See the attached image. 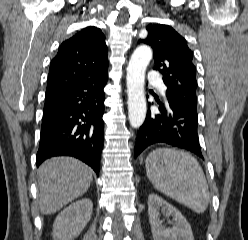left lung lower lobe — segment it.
Wrapping results in <instances>:
<instances>
[{"mask_svg": "<svg viewBox=\"0 0 248 240\" xmlns=\"http://www.w3.org/2000/svg\"><path fill=\"white\" fill-rule=\"evenodd\" d=\"M159 111L160 114H153L150 108L148 109L146 119L137 135L135 157L152 144L166 143L203 158L197 133L196 106L177 104L168 100L166 104L159 102Z\"/></svg>", "mask_w": 248, "mask_h": 240, "instance_id": "obj_1", "label": "left lung lower lobe"}]
</instances>
